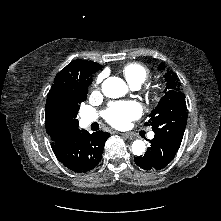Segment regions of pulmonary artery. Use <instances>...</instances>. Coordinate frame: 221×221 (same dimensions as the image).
I'll return each mask as SVG.
<instances>
[{
  "mask_svg": "<svg viewBox=\"0 0 221 221\" xmlns=\"http://www.w3.org/2000/svg\"><path fill=\"white\" fill-rule=\"evenodd\" d=\"M134 89H138L140 87V85H133L132 86ZM97 119V115L94 114V113H85L83 116H82V121L84 124H90L92 122H94L95 120ZM148 137L150 139H152L154 137V133L153 132H150L148 134Z\"/></svg>",
  "mask_w": 221,
  "mask_h": 221,
  "instance_id": "e3ab8cb5",
  "label": "pulmonary artery"
}]
</instances>
